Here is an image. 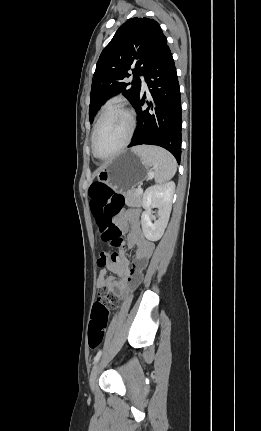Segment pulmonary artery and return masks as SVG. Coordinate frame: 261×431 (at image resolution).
Segmentation results:
<instances>
[{
    "mask_svg": "<svg viewBox=\"0 0 261 431\" xmlns=\"http://www.w3.org/2000/svg\"><path fill=\"white\" fill-rule=\"evenodd\" d=\"M141 84H142V89L146 90L147 89V84H146V81H145L144 77H141Z\"/></svg>",
    "mask_w": 261,
    "mask_h": 431,
    "instance_id": "e3ab8cb5",
    "label": "pulmonary artery"
}]
</instances>
